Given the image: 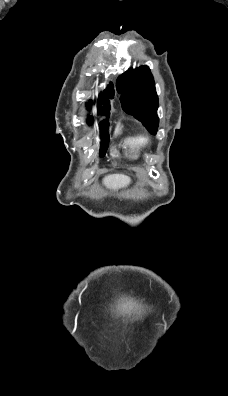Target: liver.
I'll use <instances>...</instances> for the list:
<instances>
[{
  "instance_id": "6515ba94",
  "label": "liver",
  "mask_w": 228,
  "mask_h": 396,
  "mask_svg": "<svg viewBox=\"0 0 228 396\" xmlns=\"http://www.w3.org/2000/svg\"><path fill=\"white\" fill-rule=\"evenodd\" d=\"M130 181V178L123 174H112L103 179L104 184L114 190L129 185Z\"/></svg>"
}]
</instances>
